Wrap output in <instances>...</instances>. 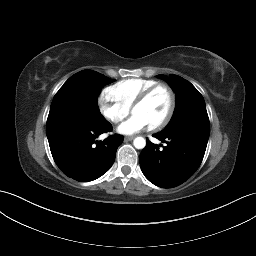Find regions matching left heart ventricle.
I'll use <instances>...</instances> for the list:
<instances>
[{"mask_svg": "<svg viewBox=\"0 0 256 256\" xmlns=\"http://www.w3.org/2000/svg\"><path fill=\"white\" fill-rule=\"evenodd\" d=\"M169 104L170 98L167 91L159 89L155 91L144 104L135 107L132 113L140 114L148 121L149 125H152L165 116Z\"/></svg>", "mask_w": 256, "mask_h": 256, "instance_id": "left-heart-ventricle-1", "label": "left heart ventricle"}]
</instances>
